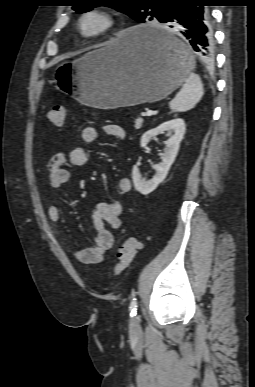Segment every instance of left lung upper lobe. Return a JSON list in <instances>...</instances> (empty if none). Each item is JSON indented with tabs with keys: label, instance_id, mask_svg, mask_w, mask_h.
<instances>
[{
	"label": "left lung upper lobe",
	"instance_id": "left-lung-upper-lobe-1",
	"mask_svg": "<svg viewBox=\"0 0 255 387\" xmlns=\"http://www.w3.org/2000/svg\"><path fill=\"white\" fill-rule=\"evenodd\" d=\"M177 1L180 0H74L73 10L81 14L93 7L109 6L140 23L152 20L161 22L169 4Z\"/></svg>",
	"mask_w": 255,
	"mask_h": 387
}]
</instances>
